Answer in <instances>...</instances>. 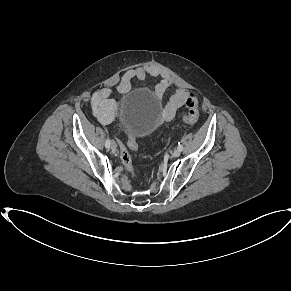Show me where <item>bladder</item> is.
I'll return each mask as SVG.
<instances>
[{"instance_id": "1", "label": "bladder", "mask_w": 291, "mask_h": 291, "mask_svg": "<svg viewBox=\"0 0 291 291\" xmlns=\"http://www.w3.org/2000/svg\"><path fill=\"white\" fill-rule=\"evenodd\" d=\"M158 107L157 99L153 98L147 91L135 90L123 98L121 110V129L129 136L146 137L153 134L157 129V123L152 117V112L141 114V108Z\"/></svg>"}]
</instances>
